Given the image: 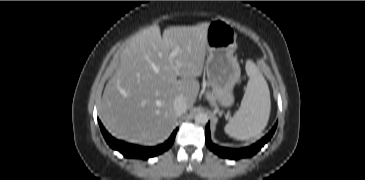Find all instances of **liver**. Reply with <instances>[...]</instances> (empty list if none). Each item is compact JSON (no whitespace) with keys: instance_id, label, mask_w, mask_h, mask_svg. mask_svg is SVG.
I'll return each mask as SVG.
<instances>
[{"instance_id":"6515ba94","label":"liver","mask_w":365,"mask_h":180,"mask_svg":"<svg viewBox=\"0 0 365 180\" xmlns=\"http://www.w3.org/2000/svg\"><path fill=\"white\" fill-rule=\"evenodd\" d=\"M208 23L164 30L152 26L135 35L120 56V66L105 86L102 120L115 137L153 144L177 121L174 100L182 97L191 109L200 84L207 50ZM178 49L172 60L169 54ZM180 77V79H178Z\"/></svg>"}]
</instances>
